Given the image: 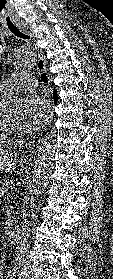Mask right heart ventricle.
<instances>
[{
    "instance_id": "1",
    "label": "right heart ventricle",
    "mask_w": 113,
    "mask_h": 279,
    "mask_svg": "<svg viewBox=\"0 0 113 279\" xmlns=\"http://www.w3.org/2000/svg\"><path fill=\"white\" fill-rule=\"evenodd\" d=\"M9 97L0 92V112L7 106ZM9 141V138L5 137L0 130V147L4 146Z\"/></svg>"
}]
</instances>
